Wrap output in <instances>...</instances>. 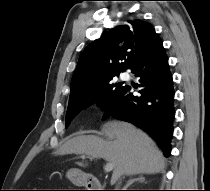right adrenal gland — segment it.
I'll return each mask as SVG.
<instances>
[{"label":"right adrenal gland","instance_id":"1","mask_svg":"<svg viewBox=\"0 0 210 191\" xmlns=\"http://www.w3.org/2000/svg\"><path fill=\"white\" fill-rule=\"evenodd\" d=\"M144 182L145 181V178L142 176V175H140L138 178H131L128 182H127V184H126V186H125V188H124V190H127V188L129 187V186H131L134 182Z\"/></svg>","mask_w":210,"mask_h":191}]
</instances>
